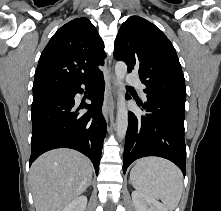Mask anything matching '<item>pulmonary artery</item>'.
Listing matches in <instances>:
<instances>
[{
	"mask_svg": "<svg viewBox=\"0 0 221 211\" xmlns=\"http://www.w3.org/2000/svg\"><path fill=\"white\" fill-rule=\"evenodd\" d=\"M127 82L131 85H135L137 87H139V89L141 90V93L143 96H145V93L143 91V89L145 88L144 85L141 83L140 79L134 75V74H129L127 76Z\"/></svg>",
	"mask_w": 221,
	"mask_h": 211,
	"instance_id": "obj_1",
	"label": "pulmonary artery"
}]
</instances>
